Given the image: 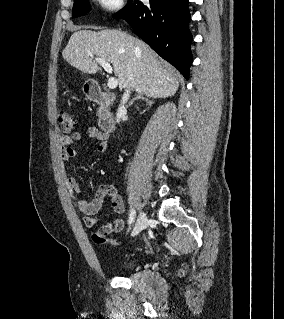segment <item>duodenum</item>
Listing matches in <instances>:
<instances>
[{
    "instance_id": "duodenum-1",
    "label": "duodenum",
    "mask_w": 284,
    "mask_h": 319,
    "mask_svg": "<svg viewBox=\"0 0 284 319\" xmlns=\"http://www.w3.org/2000/svg\"><path fill=\"white\" fill-rule=\"evenodd\" d=\"M86 92L89 99L100 107L98 114V125L100 129L106 133L114 132L116 130V124L110 111L113 95L109 92L102 91L97 86H89Z\"/></svg>"
}]
</instances>
